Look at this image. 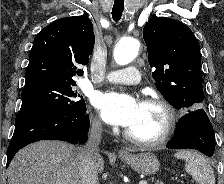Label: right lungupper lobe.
Returning a JSON list of instances; mask_svg holds the SVG:
<instances>
[{
  "mask_svg": "<svg viewBox=\"0 0 224 184\" xmlns=\"http://www.w3.org/2000/svg\"><path fill=\"white\" fill-rule=\"evenodd\" d=\"M92 22L87 16L58 19L42 29L33 41L25 84L46 80L76 83L94 48Z\"/></svg>",
  "mask_w": 224,
  "mask_h": 184,
  "instance_id": "cb5924a9",
  "label": "right lung upper lobe"
}]
</instances>
